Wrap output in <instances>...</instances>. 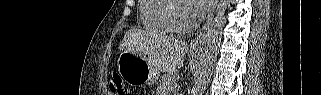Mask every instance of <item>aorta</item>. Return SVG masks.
<instances>
[{
    "label": "aorta",
    "mask_w": 321,
    "mask_h": 95,
    "mask_svg": "<svg viewBox=\"0 0 321 95\" xmlns=\"http://www.w3.org/2000/svg\"><path fill=\"white\" fill-rule=\"evenodd\" d=\"M227 6L228 0L219 1L216 17L206 33L195 67L192 95H203L210 80L222 36Z\"/></svg>",
    "instance_id": "aorta-1"
}]
</instances>
